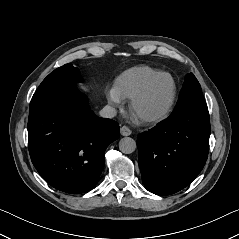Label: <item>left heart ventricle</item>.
Here are the masks:
<instances>
[{"label": "left heart ventricle", "mask_w": 239, "mask_h": 239, "mask_svg": "<svg viewBox=\"0 0 239 239\" xmlns=\"http://www.w3.org/2000/svg\"><path fill=\"white\" fill-rule=\"evenodd\" d=\"M171 91V81L167 77L159 78L136 104L133 112L140 117L159 111L168 101Z\"/></svg>", "instance_id": "b2bd125f"}]
</instances>
